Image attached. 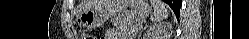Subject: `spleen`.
Instances as JSON below:
<instances>
[{
	"label": "spleen",
	"instance_id": "obj_1",
	"mask_svg": "<svg viewBox=\"0 0 249 39\" xmlns=\"http://www.w3.org/2000/svg\"><path fill=\"white\" fill-rule=\"evenodd\" d=\"M153 6L154 13L151 16V20L154 22H160L168 16L167 6L161 0H150Z\"/></svg>",
	"mask_w": 249,
	"mask_h": 39
}]
</instances>
